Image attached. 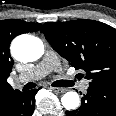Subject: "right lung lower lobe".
Listing matches in <instances>:
<instances>
[{"instance_id":"right-lung-lower-lobe-1","label":"right lung lower lobe","mask_w":116,"mask_h":116,"mask_svg":"<svg viewBox=\"0 0 116 116\" xmlns=\"http://www.w3.org/2000/svg\"><path fill=\"white\" fill-rule=\"evenodd\" d=\"M38 90L20 92L16 90L3 102L0 116H31L35 107V95Z\"/></svg>"}]
</instances>
